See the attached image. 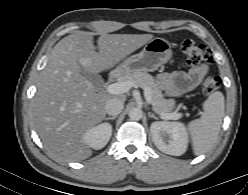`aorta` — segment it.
<instances>
[{
  "label": "aorta",
  "instance_id": "aorta-1",
  "mask_svg": "<svg viewBox=\"0 0 248 195\" xmlns=\"http://www.w3.org/2000/svg\"><path fill=\"white\" fill-rule=\"evenodd\" d=\"M131 120L137 121L142 118L143 112L139 107H133L128 113Z\"/></svg>",
  "mask_w": 248,
  "mask_h": 195
}]
</instances>
